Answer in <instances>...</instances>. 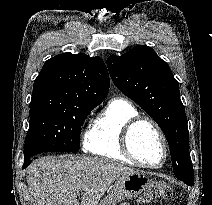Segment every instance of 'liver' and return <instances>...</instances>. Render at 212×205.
<instances>
[{
	"instance_id": "liver-1",
	"label": "liver",
	"mask_w": 212,
	"mask_h": 205,
	"mask_svg": "<svg viewBox=\"0 0 212 205\" xmlns=\"http://www.w3.org/2000/svg\"><path fill=\"white\" fill-rule=\"evenodd\" d=\"M133 172L103 158L47 156L28 167L26 179L31 205H99L115 180Z\"/></svg>"
}]
</instances>
